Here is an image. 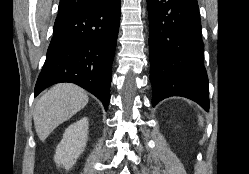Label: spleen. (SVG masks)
Here are the masks:
<instances>
[{"mask_svg":"<svg viewBox=\"0 0 249 174\" xmlns=\"http://www.w3.org/2000/svg\"><path fill=\"white\" fill-rule=\"evenodd\" d=\"M199 121H200V124H203V118L201 116H199Z\"/></svg>","mask_w":249,"mask_h":174,"instance_id":"obj_1","label":"spleen"}]
</instances>
